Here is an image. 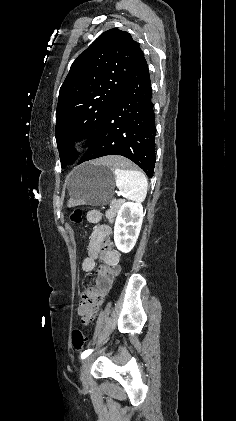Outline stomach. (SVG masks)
<instances>
[{"instance_id": "stomach-1", "label": "stomach", "mask_w": 236, "mask_h": 421, "mask_svg": "<svg viewBox=\"0 0 236 421\" xmlns=\"http://www.w3.org/2000/svg\"><path fill=\"white\" fill-rule=\"evenodd\" d=\"M115 182V168L109 164L84 162L72 170L71 198L76 204H108L113 198Z\"/></svg>"}]
</instances>
